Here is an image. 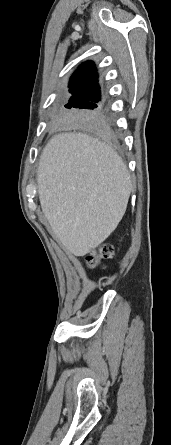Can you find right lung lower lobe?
<instances>
[{
  "instance_id": "obj_1",
  "label": "right lung lower lobe",
  "mask_w": 171,
  "mask_h": 445,
  "mask_svg": "<svg viewBox=\"0 0 171 445\" xmlns=\"http://www.w3.org/2000/svg\"><path fill=\"white\" fill-rule=\"evenodd\" d=\"M101 122H102V127H103V129L105 131V134L107 136H110L111 135V130H110V126L107 124V120H106L105 114L103 115V117L101 119Z\"/></svg>"
}]
</instances>
